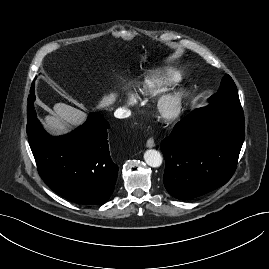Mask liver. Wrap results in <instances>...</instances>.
Instances as JSON below:
<instances>
[{
  "mask_svg": "<svg viewBox=\"0 0 269 269\" xmlns=\"http://www.w3.org/2000/svg\"><path fill=\"white\" fill-rule=\"evenodd\" d=\"M117 94L110 93L103 96L96 106L97 109L107 108L116 100ZM87 115L85 112L74 108L65 103H56L53 107L51 115L45 116V126L53 134L69 133L73 127H77L84 123Z\"/></svg>",
  "mask_w": 269,
  "mask_h": 269,
  "instance_id": "obj_1",
  "label": "liver"
}]
</instances>
